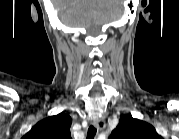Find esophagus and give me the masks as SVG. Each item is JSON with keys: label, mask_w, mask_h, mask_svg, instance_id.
Wrapping results in <instances>:
<instances>
[{"label": "esophagus", "mask_w": 179, "mask_h": 139, "mask_svg": "<svg viewBox=\"0 0 179 139\" xmlns=\"http://www.w3.org/2000/svg\"><path fill=\"white\" fill-rule=\"evenodd\" d=\"M92 125L98 130H102L105 127V121L102 118L95 119L92 121Z\"/></svg>", "instance_id": "esophagus-1"}]
</instances>
